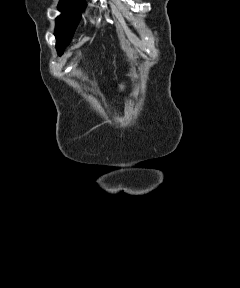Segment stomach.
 <instances>
[{
    "label": "stomach",
    "instance_id": "0dacf381",
    "mask_svg": "<svg viewBox=\"0 0 240 288\" xmlns=\"http://www.w3.org/2000/svg\"><path fill=\"white\" fill-rule=\"evenodd\" d=\"M120 89L123 90V89H124V85H121V86H120Z\"/></svg>",
    "mask_w": 240,
    "mask_h": 288
}]
</instances>
